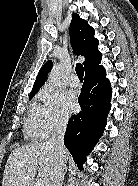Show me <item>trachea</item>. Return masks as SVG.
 Instances as JSON below:
<instances>
[{
  "label": "trachea",
  "instance_id": "obj_1",
  "mask_svg": "<svg viewBox=\"0 0 138 186\" xmlns=\"http://www.w3.org/2000/svg\"><path fill=\"white\" fill-rule=\"evenodd\" d=\"M75 70H76V74H77L79 80L83 81V77H84V68H83V66L80 63H78L76 65Z\"/></svg>",
  "mask_w": 138,
  "mask_h": 186
}]
</instances>
